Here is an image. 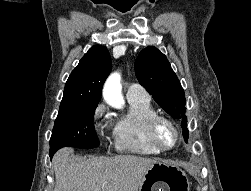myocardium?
I'll return each instance as SVG.
<instances>
[{
  "label": "myocardium",
  "instance_id": "obj_1",
  "mask_svg": "<svg viewBox=\"0 0 251 191\" xmlns=\"http://www.w3.org/2000/svg\"><path fill=\"white\" fill-rule=\"evenodd\" d=\"M162 121L169 123L174 128V130L176 131V133L178 135L177 144L175 145L174 148H172L170 150L162 149L159 146L157 139H156L157 124ZM146 137H147L149 144L156 150V152L158 154H167V153H170V152L177 150L183 144V142L185 140L184 133L182 132L179 125L171 117L163 115V114H159V113L153 114L147 120V122H146Z\"/></svg>",
  "mask_w": 251,
  "mask_h": 191
}]
</instances>
